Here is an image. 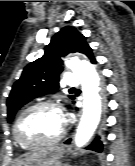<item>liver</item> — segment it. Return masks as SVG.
Returning <instances> with one entry per match:
<instances>
[{
    "label": "liver",
    "instance_id": "6515ba94",
    "mask_svg": "<svg viewBox=\"0 0 135 166\" xmlns=\"http://www.w3.org/2000/svg\"><path fill=\"white\" fill-rule=\"evenodd\" d=\"M29 163L28 157L24 160L17 161L15 166H26Z\"/></svg>",
    "mask_w": 135,
    "mask_h": 166
}]
</instances>
